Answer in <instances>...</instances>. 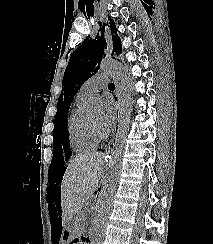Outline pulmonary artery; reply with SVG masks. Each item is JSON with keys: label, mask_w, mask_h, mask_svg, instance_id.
Segmentation results:
<instances>
[{"label": "pulmonary artery", "mask_w": 213, "mask_h": 244, "mask_svg": "<svg viewBox=\"0 0 213 244\" xmlns=\"http://www.w3.org/2000/svg\"><path fill=\"white\" fill-rule=\"evenodd\" d=\"M109 83V78L105 73H97L90 77L80 88L78 95L82 98H90L95 95Z\"/></svg>", "instance_id": "obj_1"}]
</instances>
